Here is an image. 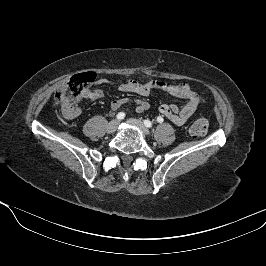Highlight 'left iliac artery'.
<instances>
[{"label":"left iliac artery","mask_w":266,"mask_h":266,"mask_svg":"<svg viewBox=\"0 0 266 266\" xmlns=\"http://www.w3.org/2000/svg\"><path fill=\"white\" fill-rule=\"evenodd\" d=\"M157 121H158L159 123H162V122H163V118H162V117H158V118H157ZM144 125H145L146 127H148V128H151V127H152V123H151L150 120H144Z\"/></svg>","instance_id":"left-iliac-artery-1"}]
</instances>
